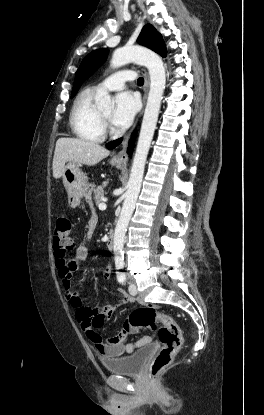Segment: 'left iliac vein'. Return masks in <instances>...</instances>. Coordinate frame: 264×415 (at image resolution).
Returning <instances> with one entry per match:
<instances>
[{"label": "left iliac vein", "mask_w": 264, "mask_h": 415, "mask_svg": "<svg viewBox=\"0 0 264 415\" xmlns=\"http://www.w3.org/2000/svg\"><path fill=\"white\" fill-rule=\"evenodd\" d=\"M137 287H136V285L134 284V283H130V285H129V293L132 295V296H135V295H137Z\"/></svg>", "instance_id": "left-iliac-vein-1"}]
</instances>
